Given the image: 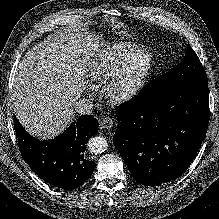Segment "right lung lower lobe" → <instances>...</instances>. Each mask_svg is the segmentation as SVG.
Here are the masks:
<instances>
[{
  "label": "right lung lower lobe",
  "instance_id": "right-lung-lower-lobe-1",
  "mask_svg": "<svg viewBox=\"0 0 219 219\" xmlns=\"http://www.w3.org/2000/svg\"><path fill=\"white\" fill-rule=\"evenodd\" d=\"M14 129L21 155L45 182L71 190L93 173L95 162L84 156L86 143L98 131L92 115H82L53 140H38L29 135L14 115Z\"/></svg>",
  "mask_w": 219,
  "mask_h": 219
}]
</instances>
